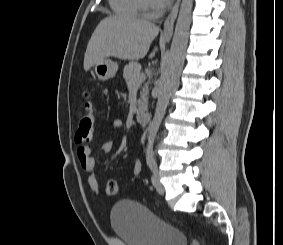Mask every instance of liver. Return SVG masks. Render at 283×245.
<instances>
[{
	"label": "liver",
	"mask_w": 283,
	"mask_h": 245,
	"mask_svg": "<svg viewBox=\"0 0 283 245\" xmlns=\"http://www.w3.org/2000/svg\"><path fill=\"white\" fill-rule=\"evenodd\" d=\"M159 33L155 24L127 16H109L96 27L85 52L84 70L95 63L115 57L138 60L148 53L150 44ZM157 48L149 55L154 57Z\"/></svg>",
	"instance_id": "1"
}]
</instances>
